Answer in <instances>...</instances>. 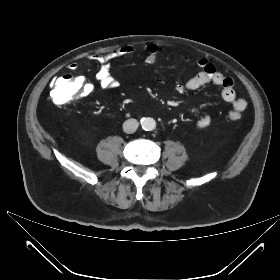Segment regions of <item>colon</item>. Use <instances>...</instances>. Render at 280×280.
Segmentation results:
<instances>
[{
  "instance_id": "obj_1",
  "label": "colon",
  "mask_w": 280,
  "mask_h": 280,
  "mask_svg": "<svg viewBox=\"0 0 280 280\" xmlns=\"http://www.w3.org/2000/svg\"><path fill=\"white\" fill-rule=\"evenodd\" d=\"M82 82L81 78L72 75L58 76L52 84L50 100L56 106L66 105L74 101L81 91ZM240 117L239 114H234L232 118L238 120Z\"/></svg>"
}]
</instances>
